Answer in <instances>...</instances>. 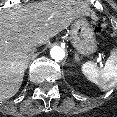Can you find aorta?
<instances>
[{"instance_id":"obj_1","label":"aorta","mask_w":117,"mask_h":117,"mask_svg":"<svg viewBox=\"0 0 117 117\" xmlns=\"http://www.w3.org/2000/svg\"><path fill=\"white\" fill-rule=\"evenodd\" d=\"M50 55L55 61H61L65 57V50L59 46H54L50 50Z\"/></svg>"}]
</instances>
